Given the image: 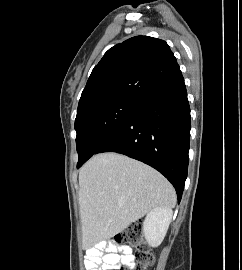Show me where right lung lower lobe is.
Instances as JSON below:
<instances>
[{
    "mask_svg": "<svg viewBox=\"0 0 242 270\" xmlns=\"http://www.w3.org/2000/svg\"><path fill=\"white\" fill-rule=\"evenodd\" d=\"M190 129V107L180 73L138 100L94 154L117 152L152 166L172 183L179 203L187 178ZM84 163H77V168Z\"/></svg>",
    "mask_w": 242,
    "mask_h": 270,
    "instance_id": "98d812e1",
    "label": "right lung lower lobe"
}]
</instances>
